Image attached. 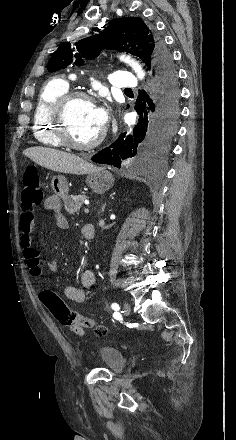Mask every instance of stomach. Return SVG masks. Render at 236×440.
Masks as SVG:
<instances>
[{
  "label": "stomach",
  "mask_w": 236,
  "mask_h": 440,
  "mask_svg": "<svg viewBox=\"0 0 236 440\" xmlns=\"http://www.w3.org/2000/svg\"><path fill=\"white\" fill-rule=\"evenodd\" d=\"M86 183L95 193L103 194L113 186L114 178L106 169L97 167L88 173ZM51 187L53 192L60 198H65L68 195L67 180L62 175L52 177Z\"/></svg>",
  "instance_id": "obj_1"
}]
</instances>
